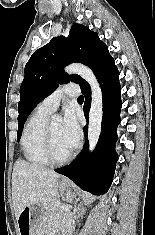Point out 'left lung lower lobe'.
I'll return each mask as SVG.
<instances>
[{"mask_svg":"<svg viewBox=\"0 0 155 235\" xmlns=\"http://www.w3.org/2000/svg\"><path fill=\"white\" fill-rule=\"evenodd\" d=\"M98 80L102 88L103 99L102 129L98 144L93 153L88 152V128L84 127L85 146L77 160L68 166L55 169L57 173L69 177L75 184L93 195H102L108 191L118 160L115 143L122 102L119 71L114 60L103 69ZM81 91L85 96L83 110L85 118L88 120L91 104L90 86L81 88Z\"/></svg>","mask_w":155,"mask_h":235,"instance_id":"obj_1","label":"left lung lower lobe"}]
</instances>
